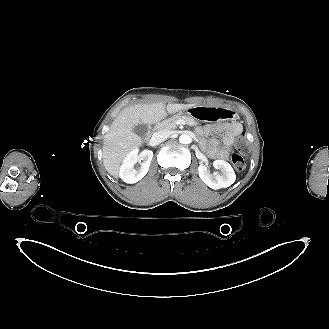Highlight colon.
<instances>
[{"label": "colon", "mask_w": 329, "mask_h": 329, "mask_svg": "<svg viewBox=\"0 0 329 329\" xmlns=\"http://www.w3.org/2000/svg\"><path fill=\"white\" fill-rule=\"evenodd\" d=\"M238 153L232 156V162L237 171H242L245 168L244 156L248 151V141L244 133L240 134L236 139Z\"/></svg>", "instance_id": "5ec220e1"}]
</instances>
